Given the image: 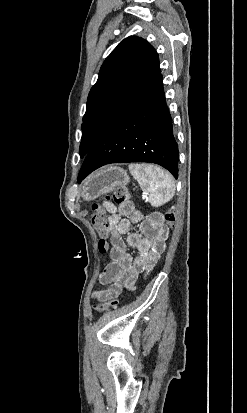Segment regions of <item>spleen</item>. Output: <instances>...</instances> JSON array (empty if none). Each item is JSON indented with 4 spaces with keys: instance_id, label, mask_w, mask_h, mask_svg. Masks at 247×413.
I'll return each mask as SVG.
<instances>
[{
    "instance_id": "3e777b00",
    "label": "spleen",
    "mask_w": 247,
    "mask_h": 413,
    "mask_svg": "<svg viewBox=\"0 0 247 413\" xmlns=\"http://www.w3.org/2000/svg\"><path fill=\"white\" fill-rule=\"evenodd\" d=\"M129 170L134 178L138 180L142 190L149 192V202L152 207H161L168 200H171L175 192V182L167 170L155 166V168H145L144 164H129Z\"/></svg>"
}]
</instances>
